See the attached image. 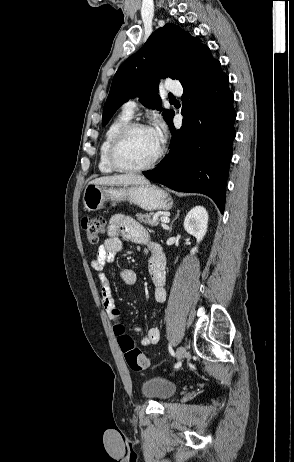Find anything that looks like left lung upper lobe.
Segmentation results:
<instances>
[{
    "mask_svg": "<svg viewBox=\"0 0 294 462\" xmlns=\"http://www.w3.org/2000/svg\"><path fill=\"white\" fill-rule=\"evenodd\" d=\"M212 59L209 48L200 39L177 25L166 24L117 70L104 105L102 125L124 102L137 96L146 107L163 110L158 95L160 79L170 77L184 84ZM163 114L169 124L174 111L164 110Z\"/></svg>",
    "mask_w": 294,
    "mask_h": 462,
    "instance_id": "left-lung-upper-lobe-1",
    "label": "left lung upper lobe"
}]
</instances>
